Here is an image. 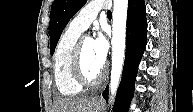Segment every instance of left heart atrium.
I'll use <instances>...</instances> for the list:
<instances>
[{"mask_svg": "<svg viewBox=\"0 0 193 112\" xmlns=\"http://www.w3.org/2000/svg\"><path fill=\"white\" fill-rule=\"evenodd\" d=\"M93 49L97 59L104 64L108 53V42L103 33H99L93 40Z\"/></svg>", "mask_w": 193, "mask_h": 112, "instance_id": "1", "label": "left heart atrium"}]
</instances>
